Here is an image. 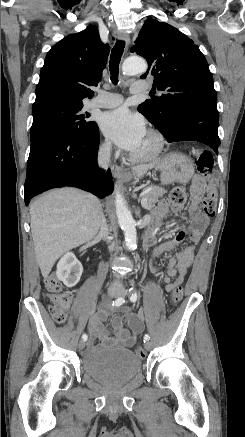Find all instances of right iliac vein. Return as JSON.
I'll return each instance as SVG.
<instances>
[{
    "mask_svg": "<svg viewBox=\"0 0 245 437\" xmlns=\"http://www.w3.org/2000/svg\"><path fill=\"white\" fill-rule=\"evenodd\" d=\"M119 294L120 293L118 291L114 290V289H109V291H108V295L111 296V297H117V296H119ZM84 347H85V341L81 340L79 342V344H78V348L80 350H82Z\"/></svg>",
    "mask_w": 245,
    "mask_h": 437,
    "instance_id": "obj_1",
    "label": "right iliac vein"
}]
</instances>
